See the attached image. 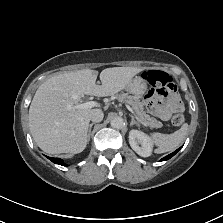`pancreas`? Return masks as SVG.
I'll return each instance as SVG.
<instances>
[{"label":"pancreas","mask_w":223,"mask_h":223,"mask_svg":"<svg viewBox=\"0 0 223 223\" xmlns=\"http://www.w3.org/2000/svg\"><path fill=\"white\" fill-rule=\"evenodd\" d=\"M115 98L118 99L120 102H127L129 105L132 106L133 110L135 111L137 117L143 121L146 125L150 122L152 125L150 127H161L162 123L156 119L151 118L149 115L145 114L142 111V104L140 101L134 98V95H128L124 92H117L114 94Z\"/></svg>","instance_id":"cf45deb5"}]
</instances>
